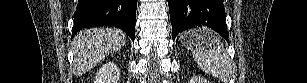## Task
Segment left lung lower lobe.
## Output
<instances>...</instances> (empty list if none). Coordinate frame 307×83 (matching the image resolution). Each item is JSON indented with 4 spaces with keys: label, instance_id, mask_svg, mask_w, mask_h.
<instances>
[{
    "label": "left lung lower lobe",
    "instance_id": "left-lung-lower-lobe-1",
    "mask_svg": "<svg viewBox=\"0 0 307 83\" xmlns=\"http://www.w3.org/2000/svg\"><path fill=\"white\" fill-rule=\"evenodd\" d=\"M173 40L179 32L207 26L226 40L225 8L222 0H168Z\"/></svg>",
    "mask_w": 307,
    "mask_h": 83
}]
</instances>
